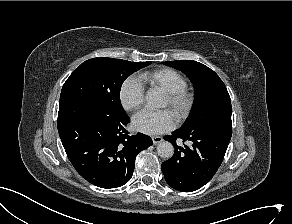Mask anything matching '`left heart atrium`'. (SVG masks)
<instances>
[{"label": "left heart atrium", "instance_id": "left-heart-atrium-1", "mask_svg": "<svg viewBox=\"0 0 292 224\" xmlns=\"http://www.w3.org/2000/svg\"><path fill=\"white\" fill-rule=\"evenodd\" d=\"M175 124V117L168 110L158 112L143 110L132 118L133 128L138 132L149 135L168 132L175 127Z\"/></svg>", "mask_w": 292, "mask_h": 224}]
</instances>
